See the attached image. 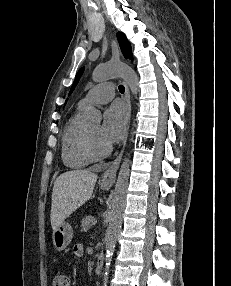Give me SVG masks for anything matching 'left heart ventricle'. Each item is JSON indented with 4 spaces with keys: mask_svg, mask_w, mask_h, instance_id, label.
I'll return each mask as SVG.
<instances>
[{
    "mask_svg": "<svg viewBox=\"0 0 231 286\" xmlns=\"http://www.w3.org/2000/svg\"><path fill=\"white\" fill-rule=\"evenodd\" d=\"M86 128L88 130V133L90 135V138H91V141H92L94 147L97 150H103L106 147V145L101 141V139L99 137L100 126L98 124H96V125L88 126Z\"/></svg>",
    "mask_w": 231,
    "mask_h": 286,
    "instance_id": "1",
    "label": "left heart ventricle"
}]
</instances>
